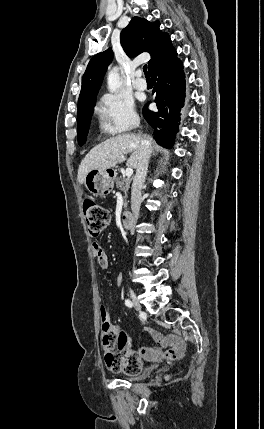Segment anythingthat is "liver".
Here are the masks:
<instances>
[{"label":"liver","instance_id":"obj_1","mask_svg":"<svg viewBox=\"0 0 264 429\" xmlns=\"http://www.w3.org/2000/svg\"><path fill=\"white\" fill-rule=\"evenodd\" d=\"M147 141L150 146L152 139L149 136L140 134H122L107 139L103 143L95 146L81 161L78 169V182L83 184L86 175L94 169L105 170L114 167L117 163L123 162L128 153L131 156L127 160V166L136 169L140 158L141 142Z\"/></svg>","mask_w":264,"mask_h":429}]
</instances>
